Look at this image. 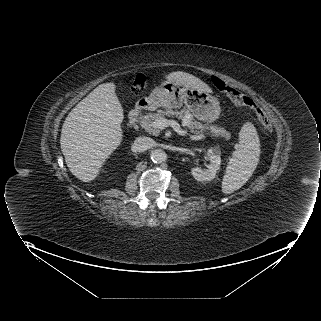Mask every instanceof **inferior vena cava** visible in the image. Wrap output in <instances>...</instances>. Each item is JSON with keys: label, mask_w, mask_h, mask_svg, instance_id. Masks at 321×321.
<instances>
[{"label": "inferior vena cava", "mask_w": 321, "mask_h": 321, "mask_svg": "<svg viewBox=\"0 0 321 321\" xmlns=\"http://www.w3.org/2000/svg\"><path fill=\"white\" fill-rule=\"evenodd\" d=\"M155 141L149 137H138L134 141V147L138 152H144L154 147Z\"/></svg>", "instance_id": "obj_1"}]
</instances>
